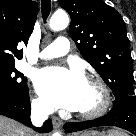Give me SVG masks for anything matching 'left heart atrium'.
Here are the masks:
<instances>
[{
	"instance_id": "obj_1",
	"label": "left heart atrium",
	"mask_w": 136,
	"mask_h": 136,
	"mask_svg": "<svg viewBox=\"0 0 136 136\" xmlns=\"http://www.w3.org/2000/svg\"><path fill=\"white\" fill-rule=\"evenodd\" d=\"M87 81L76 68L46 67L35 78L38 93L52 106L79 110L82 105Z\"/></svg>"
}]
</instances>
